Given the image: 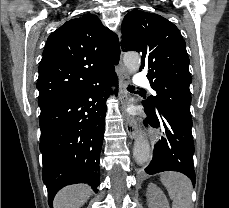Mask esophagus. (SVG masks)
<instances>
[{"label": "esophagus", "mask_w": 229, "mask_h": 208, "mask_svg": "<svg viewBox=\"0 0 229 208\" xmlns=\"http://www.w3.org/2000/svg\"><path fill=\"white\" fill-rule=\"evenodd\" d=\"M118 36L120 37L119 31H118ZM119 66H120L119 99L121 102L123 115L125 117V129L129 135V137L131 139H134L139 132L137 122L134 118L130 117L125 111L127 105L129 104V92L127 91V88H126V85L129 82V76H128V73H127V71L123 65L122 60H120Z\"/></svg>", "instance_id": "34e87169"}]
</instances>
